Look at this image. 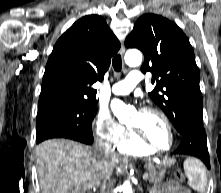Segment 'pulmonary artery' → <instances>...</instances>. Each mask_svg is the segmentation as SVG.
Instances as JSON below:
<instances>
[{
	"instance_id": "1",
	"label": "pulmonary artery",
	"mask_w": 221,
	"mask_h": 193,
	"mask_svg": "<svg viewBox=\"0 0 221 193\" xmlns=\"http://www.w3.org/2000/svg\"><path fill=\"white\" fill-rule=\"evenodd\" d=\"M142 80L141 72L131 71L124 80L112 85L111 92L117 95L129 94Z\"/></svg>"
}]
</instances>
